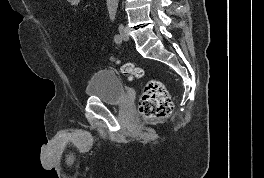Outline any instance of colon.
<instances>
[{"label":"colon","instance_id":"colon-1","mask_svg":"<svg viewBox=\"0 0 264 178\" xmlns=\"http://www.w3.org/2000/svg\"><path fill=\"white\" fill-rule=\"evenodd\" d=\"M121 72L130 79L143 76V69L133 63H123ZM139 112L146 119H163L168 117L173 109V103L165 85L158 79H151L144 87L139 100Z\"/></svg>","mask_w":264,"mask_h":178}]
</instances>
